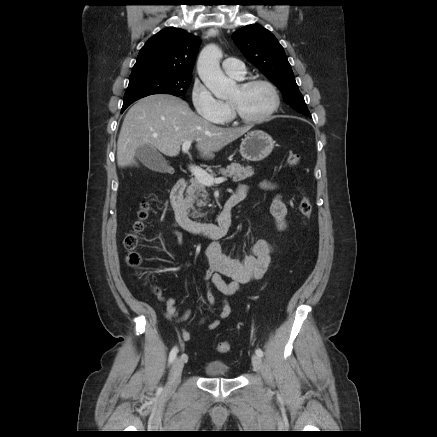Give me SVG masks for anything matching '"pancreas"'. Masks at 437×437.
<instances>
[{
    "label": "pancreas",
    "mask_w": 437,
    "mask_h": 437,
    "mask_svg": "<svg viewBox=\"0 0 437 437\" xmlns=\"http://www.w3.org/2000/svg\"><path fill=\"white\" fill-rule=\"evenodd\" d=\"M219 174L231 177L234 182H238L253 176L254 170L250 166L244 167L238 163H231L226 168H221ZM186 193V202L193 210V214H197L200 217L203 216V214L195 209V204L197 207H205L207 205L209 195L205 185L194 178L191 180V184L188 186Z\"/></svg>",
    "instance_id": "obj_1"
}]
</instances>
